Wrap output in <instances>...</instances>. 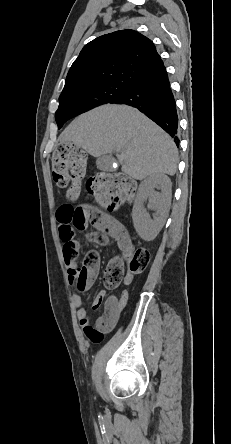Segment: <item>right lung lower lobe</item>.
Returning a JSON list of instances; mask_svg holds the SVG:
<instances>
[{
    "instance_id": "obj_1",
    "label": "right lung lower lobe",
    "mask_w": 231,
    "mask_h": 444,
    "mask_svg": "<svg viewBox=\"0 0 231 444\" xmlns=\"http://www.w3.org/2000/svg\"><path fill=\"white\" fill-rule=\"evenodd\" d=\"M139 109L162 127L177 145L178 115L167 72L142 79L130 91L115 102Z\"/></svg>"
}]
</instances>
